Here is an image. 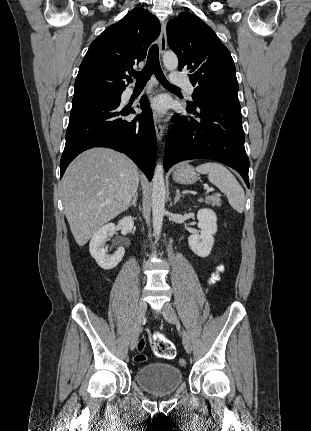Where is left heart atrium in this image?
I'll use <instances>...</instances> for the list:
<instances>
[{
    "instance_id": "1",
    "label": "left heart atrium",
    "mask_w": 311,
    "mask_h": 431,
    "mask_svg": "<svg viewBox=\"0 0 311 431\" xmlns=\"http://www.w3.org/2000/svg\"><path fill=\"white\" fill-rule=\"evenodd\" d=\"M169 108V101L164 95H157L145 104V111L156 116H164Z\"/></svg>"
}]
</instances>
